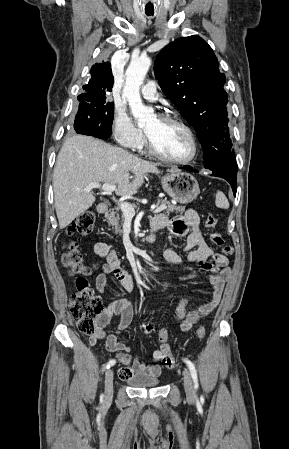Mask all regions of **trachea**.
<instances>
[{"label":"trachea","instance_id":"3493384b","mask_svg":"<svg viewBox=\"0 0 289 449\" xmlns=\"http://www.w3.org/2000/svg\"><path fill=\"white\" fill-rule=\"evenodd\" d=\"M147 16H153V13H146Z\"/></svg>","mask_w":289,"mask_h":449}]
</instances>
